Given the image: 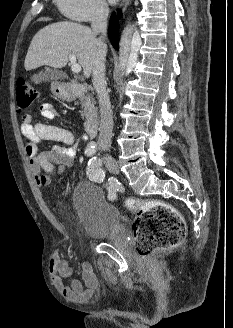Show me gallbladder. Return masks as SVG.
<instances>
[{"label": "gallbladder", "instance_id": "bac80fb5", "mask_svg": "<svg viewBox=\"0 0 233 328\" xmlns=\"http://www.w3.org/2000/svg\"><path fill=\"white\" fill-rule=\"evenodd\" d=\"M57 78L56 72L50 68L40 71L38 74L32 76V81L36 84L40 82H49Z\"/></svg>", "mask_w": 233, "mask_h": 328}]
</instances>
